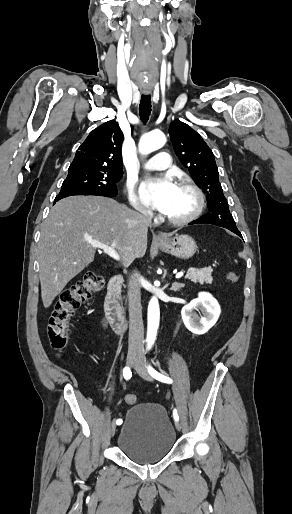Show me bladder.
<instances>
[{
  "instance_id": "31cf9c89",
  "label": "bladder",
  "mask_w": 292,
  "mask_h": 514,
  "mask_svg": "<svg viewBox=\"0 0 292 514\" xmlns=\"http://www.w3.org/2000/svg\"><path fill=\"white\" fill-rule=\"evenodd\" d=\"M175 442L176 433L166 410L158 404L139 403L128 409L117 446L131 461L148 464L164 459Z\"/></svg>"
}]
</instances>
